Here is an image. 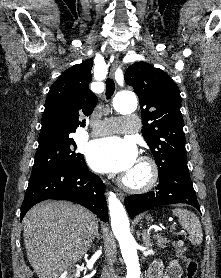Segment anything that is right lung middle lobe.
I'll return each instance as SVG.
<instances>
[{
    "mask_svg": "<svg viewBox=\"0 0 221 278\" xmlns=\"http://www.w3.org/2000/svg\"><path fill=\"white\" fill-rule=\"evenodd\" d=\"M75 150L76 143L69 136L39 141L30 179L56 168L83 165L85 163L83 155L76 153Z\"/></svg>",
    "mask_w": 221,
    "mask_h": 278,
    "instance_id": "dd1d6c3e",
    "label": "right lung middle lobe"
}]
</instances>
